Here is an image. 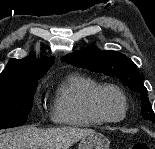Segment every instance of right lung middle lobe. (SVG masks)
Segmentation results:
<instances>
[{"label": "right lung middle lobe", "instance_id": "dd1d6c3e", "mask_svg": "<svg viewBox=\"0 0 155 149\" xmlns=\"http://www.w3.org/2000/svg\"><path fill=\"white\" fill-rule=\"evenodd\" d=\"M40 78L0 80V129L26 122Z\"/></svg>", "mask_w": 155, "mask_h": 149}]
</instances>
